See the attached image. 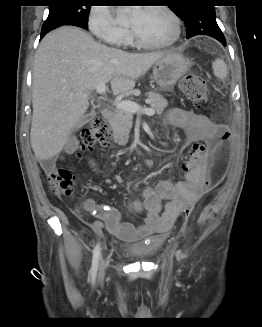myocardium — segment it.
Segmentation results:
<instances>
[{"label": "myocardium", "mask_w": 262, "mask_h": 327, "mask_svg": "<svg viewBox=\"0 0 262 327\" xmlns=\"http://www.w3.org/2000/svg\"><path fill=\"white\" fill-rule=\"evenodd\" d=\"M146 9L158 10L165 13L170 18L173 24V29H174L173 34L169 39L165 41L151 42L143 39L141 36L138 35L136 31L130 29V33L134 42L141 47L149 48V49H162L174 45L179 40L182 33L181 20L179 16L169 6L166 5H153Z\"/></svg>", "instance_id": "myocardium-1"}]
</instances>
